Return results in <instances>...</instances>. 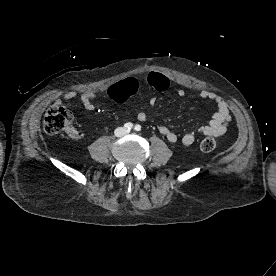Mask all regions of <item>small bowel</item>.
<instances>
[{"label": "small bowel", "instance_id": "c3829d8e", "mask_svg": "<svg viewBox=\"0 0 276 276\" xmlns=\"http://www.w3.org/2000/svg\"><path fill=\"white\" fill-rule=\"evenodd\" d=\"M147 79L149 85L155 90L164 91L169 87L168 79L158 72L151 73ZM139 89V81L135 78H129L111 86L108 92L113 99L122 100L136 94ZM184 94L185 91L183 89L180 88L177 90L178 96H183ZM199 95L202 99L212 101L216 106V111L208 124L200 126L196 133L188 132L180 138L182 144L185 146H190L194 143L196 134L214 137L222 136L226 132L228 124L231 121L228 104L222 97L209 90H201ZM75 97L76 93L70 91L56 99V103L61 104L65 101L72 100ZM79 101L87 110H94L98 107L97 93L94 91L81 93L79 95ZM150 105H154V100L150 101ZM137 119L141 122H145L148 119V116L145 112H139L137 114ZM158 131L170 143H176L179 140L178 135L164 124L158 125ZM70 136L75 139H81L85 136V133L78 130H71Z\"/></svg>", "mask_w": 276, "mask_h": 276}]
</instances>
